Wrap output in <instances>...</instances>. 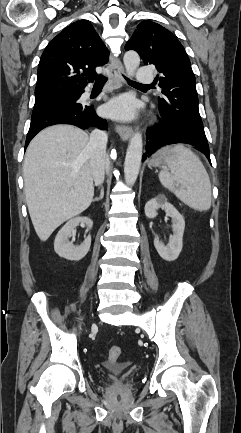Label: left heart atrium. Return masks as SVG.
Segmentation results:
<instances>
[{
  "mask_svg": "<svg viewBox=\"0 0 241 433\" xmlns=\"http://www.w3.org/2000/svg\"><path fill=\"white\" fill-rule=\"evenodd\" d=\"M107 113L115 118L128 119L135 113L134 101L127 96L113 99L106 106Z\"/></svg>",
  "mask_w": 241,
  "mask_h": 433,
  "instance_id": "39dd6f15",
  "label": "left heart atrium"
}]
</instances>
